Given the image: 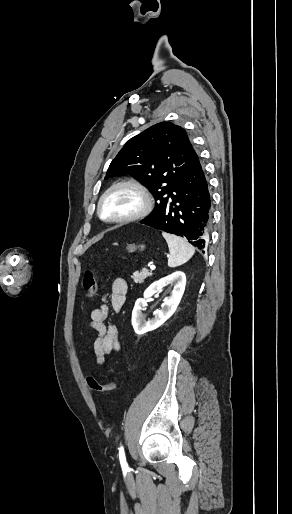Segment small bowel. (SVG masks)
I'll list each match as a JSON object with an SVG mask.
<instances>
[{
	"label": "small bowel",
	"mask_w": 292,
	"mask_h": 514,
	"mask_svg": "<svg viewBox=\"0 0 292 514\" xmlns=\"http://www.w3.org/2000/svg\"><path fill=\"white\" fill-rule=\"evenodd\" d=\"M128 285L125 279H115L109 294L104 297V303L92 310L89 326L97 333L91 340V346L96 357V363L102 365L107 355L120 350L119 328L115 323L106 324L110 310L119 312L125 303Z\"/></svg>",
	"instance_id": "obj_1"
}]
</instances>
